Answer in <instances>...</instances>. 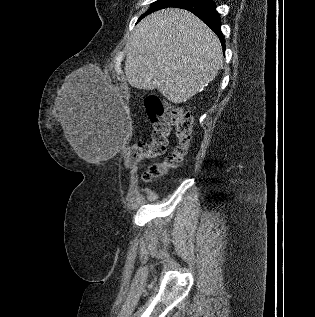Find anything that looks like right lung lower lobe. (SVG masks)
Returning <instances> with one entry per match:
<instances>
[{"label": "right lung lower lobe", "mask_w": 315, "mask_h": 317, "mask_svg": "<svg viewBox=\"0 0 315 317\" xmlns=\"http://www.w3.org/2000/svg\"><path fill=\"white\" fill-rule=\"evenodd\" d=\"M169 7L182 8L194 13L218 35L225 49L224 37L220 30V17L216 11V5L212 0H180Z\"/></svg>", "instance_id": "obj_1"}]
</instances>
